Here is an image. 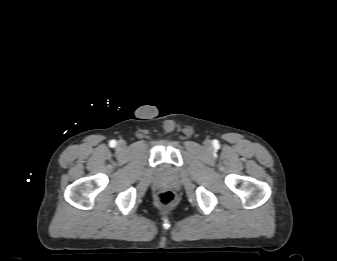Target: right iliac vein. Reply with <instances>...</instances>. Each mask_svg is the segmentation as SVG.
<instances>
[{"mask_svg": "<svg viewBox=\"0 0 337 261\" xmlns=\"http://www.w3.org/2000/svg\"><path fill=\"white\" fill-rule=\"evenodd\" d=\"M125 146H126L125 141L121 140V141L118 142V148L123 149V148H125Z\"/></svg>", "mask_w": 337, "mask_h": 261, "instance_id": "1", "label": "right iliac vein"}]
</instances>
